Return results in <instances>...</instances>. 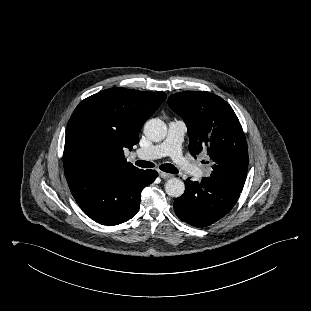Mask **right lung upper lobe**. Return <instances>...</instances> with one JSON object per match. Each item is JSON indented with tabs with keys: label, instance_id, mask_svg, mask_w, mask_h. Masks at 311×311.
Instances as JSON below:
<instances>
[{
	"label": "right lung upper lobe",
	"instance_id": "obj_1",
	"mask_svg": "<svg viewBox=\"0 0 311 311\" xmlns=\"http://www.w3.org/2000/svg\"><path fill=\"white\" fill-rule=\"evenodd\" d=\"M165 99L164 92L114 87L81 101L66 129L65 176L99 167L138 169L127 162L124 150L138 142L141 127Z\"/></svg>",
	"mask_w": 311,
	"mask_h": 311
}]
</instances>
